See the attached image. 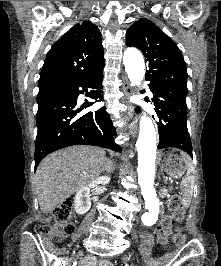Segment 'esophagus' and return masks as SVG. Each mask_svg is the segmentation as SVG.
Masks as SVG:
<instances>
[{
  "mask_svg": "<svg viewBox=\"0 0 221 266\" xmlns=\"http://www.w3.org/2000/svg\"><path fill=\"white\" fill-rule=\"evenodd\" d=\"M123 92H124V102L127 104V118L132 120L129 124V132L134 136L137 132V119L134 118V106L130 102V96L132 94V88L126 77H123Z\"/></svg>",
  "mask_w": 221,
  "mask_h": 266,
  "instance_id": "obj_1",
  "label": "esophagus"
}]
</instances>
